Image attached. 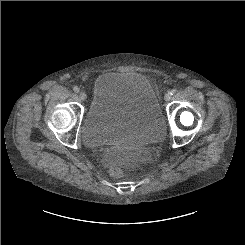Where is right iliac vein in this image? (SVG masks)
I'll list each match as a JSON object with an SVG mask.
<instances>
[{
	"label": "right iliac vein",
	"mask_w": 245,
	"mask_h": 245,
	"mask_svg": "<svg viewBox=\"0 0 245 245\" xmlns=\"http://www.w3.org/2000/svg\"><path fill=\"white\" fill-rule=\"evenodd\" d=\"M79 97H80V99L81 100H86L87 99V94L84 92V91H81L80 93H79Z\"/></svg>",
	"instance_id": "right-iliac-vein-1"
}]
</instances>
